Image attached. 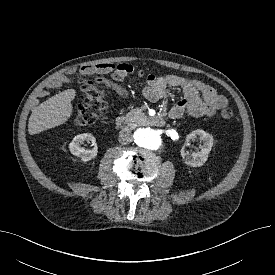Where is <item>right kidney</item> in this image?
I'll return each instance as SVG.
<instances>
[{
  "label": "right kidney",
  "mask_w": 275,
  "mask_h": 275,
  "mask_svg": "<svg viewBox=\"0 0 275 275\" xmlns=\"http://www.w3.org/2000/svg\"><path fill=\"white\" fill-rule=\"evenodd\" d=\"M85 141L88 143L92 142L93 148L90 150H87L84 147H81V145ZM69 150L74 156L81 158V160L84 162L95 158L98 153L96 139L93 135L88 133L79 134L75 136L72 142L69 144Z\"/></svg>",
  "instance_id": "obj_1"
}]
</instances>
